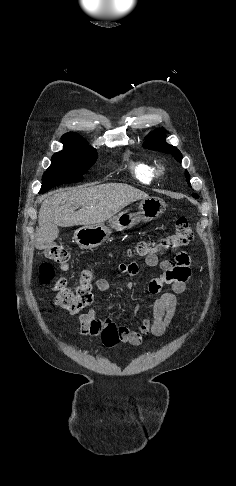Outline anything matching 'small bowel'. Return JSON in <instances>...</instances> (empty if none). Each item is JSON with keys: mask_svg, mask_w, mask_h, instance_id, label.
Instances as JSON below:
<instances>
[{"mask_svg": "<svg viewBox=\"0 0 236 486\" xmlns=\"http://www.w3.org/2000/svg\"><path fill=\"white\" fill-rule=\"evenodd\" d=\"M145 263L150 267L159 265L162 270V275L152 279L148 284L149 294L157 296L152 305V319H142L138 328L134 330L126 325H117L110 319L102 320L97 317L94 309H90L78 315L82 336L87 337L90 342L100 336L106 346H114L118 342L140 346L147 335L161 336L166 331L176 313V295L184 292L191 275L190 258L185 252H177L174 261L159 262L157 256L153 255L146 257ZM118 271L121 275L134 276L138 273L139 266L136 262L121 264ZM165 285L171 292L161 293ZM109 287V282L104 278L95 281V288L100 292H106ZM127 288L134 290V284L128 283Z\"/></svg>", "mask_w": 236, "mask_h": 486, "instance_id": "obj_1", "label": "small bowel"}]
</instances>
